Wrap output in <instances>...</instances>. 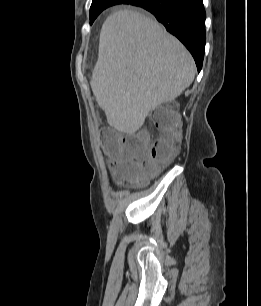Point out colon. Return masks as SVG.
<instances>
[{
	"label": "colon",
	"mask_w": 261,
	"mask_h": 306,
	"mask_svg": "<svg viewBox=\"0 0 261 306\" xmlns=\"http://www.w3.org/2000/svg\"><path fill=\"white\" fill-rule=\"evenodd\" d=\"M158 131L157 138L149 146V135L139 131L119 141L117 134L105 137V147L109 154L137 161L141 168L123 165L117 169L121 179L130 182H143L152 177L159 169L168 164L175 156L179 140V118L167 107L158 108L153 115Z\"/></svg>",
	"instance_id": "colon-1"
}]
</instances>
